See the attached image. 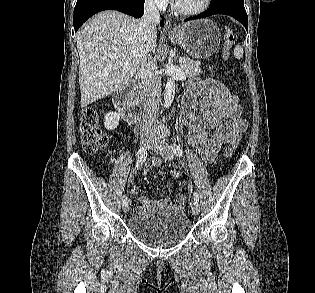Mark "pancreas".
<instances>
[{
  "label": "pancreas",
  "instance_id": "cf45deb5",
  "mask_svg": "<svg viewBox=\"0 0 315 293\" xmlns=\"http://www.w3.org/2000/svg\"><path fill=\"white\" fill-rule=\"evenodd\" d=\"M181 69L185 72L186 77L194 79L199 74L203 73L200 68V62L194 61L190 58H186V61L180 65ZM141 92H139L140 94ZM138 101V97L135 98L134 102Z\"/></svg>",
  "mask_w": 315,
  "mask_h": 293
}]
</instances>
